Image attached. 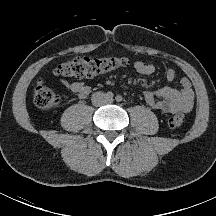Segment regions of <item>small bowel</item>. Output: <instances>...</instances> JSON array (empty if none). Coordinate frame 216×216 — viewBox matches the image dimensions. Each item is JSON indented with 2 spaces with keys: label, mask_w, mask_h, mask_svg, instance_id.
Masks as SVG:
<instances>
[{
  "label": "small bowel",
  "mask_w": 216,
  "mask_h": 216,
  "mask_svg": "<svg viewBox=\"0 0 216 216\" xmlns=\"http://www.w3.org/2000/svg\"><path fill=\"white\" fill-rule=\"evenodd\" d=\"M134 67L139 74L146 76L156 71L154 65L144 61H136ZM165 78L169 84L168 86L143 93L147 104L155 110L169 114L191 111L194 106V92L189 79L182 78L180 89H175L171 85L176 81V72L173 69L166 70ZM63 84L71 93L80 98H86L91 92V88L81 81H63Z\"/></svg>",
  "instance_id": "small-bowel-1"
}]
</instances>
